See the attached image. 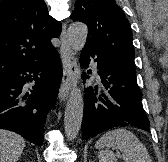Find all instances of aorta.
I'll use <instances>...</instances> for the list:
<instances>
[{"label":"aorta","instance_id":"762f6f07","mask_svg":"<svg viewBox=\"0 0 168 162\" xmlns=\"http://www.w3.org/2000/svg\"><path fill=\"white\" fill-rule=\"evenodd\" d=\"M88 28L84 23H72L68 29V41L75 51H81L86 43ZM83 97L81 90L74 87L67 101L64 115V129L68 139L76 138L83 118Z\"/></svg>","mask_w":168,"mask_h":162}]
</instances>
